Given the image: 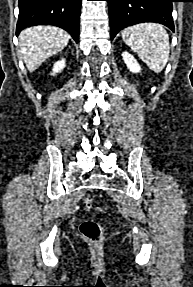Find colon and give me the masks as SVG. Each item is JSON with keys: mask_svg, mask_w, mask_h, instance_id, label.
Listing matches in <instances>:
<instances>
[{"mask_svg": "<svg viewBox=\"0 0 193 287\" xmlns=\"http://www.w3.org/2000/svg\"><path fill=\"white\" fill-rule=\"evenodd\" d=\"M86 209H92V200L87 198L84 201ZM80 231L84 239L87 241L98 244L102 241L104 235V229L102 225L94 220L84 221L80 226Z\"/></svg>", "mask_w": 193, "mask_h": 287, "instance_id": "obj_1", "label": "colon"}]
</instances>
